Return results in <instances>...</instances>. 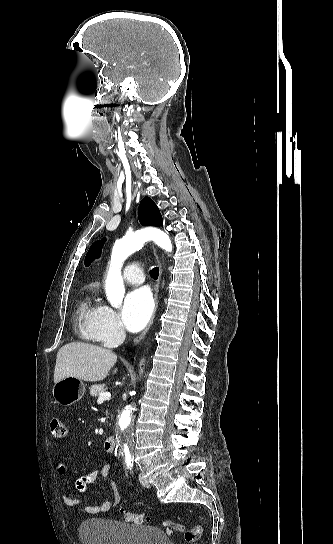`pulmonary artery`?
Listing matches in <instances>:
<instances>
[{"label":"pulmonary artery","mask_w":333,"mask_h":544,"mask_svg":"<svg viewBox=\"0 0 333 544\" xmlns=\"http://www.w3.org/2000/svg\"><path fill=\"white\" fill-rule=\"evenodd\" d=\"M123 278L129 284L139 285L144 282V273L138 263L127 265L123 271Z\"/></svg>","instance_id":"obj_1"}]
</instances>
